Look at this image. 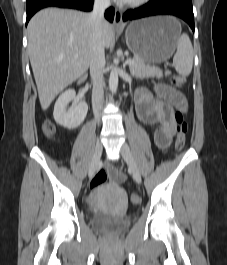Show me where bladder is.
<instances>
[{
    "label": "bladder",
    "mask_w": 227,
    "mask_h": 265,
    "mask_svg": "<svg viewBox=\"0 0 227 265\" xmlns=\"http://www.w3.org/2000/svg\"><path fill=\"white\" fill-rule=\"evenodd\" d=\"M113 191L117 190L115 186L99 187L98 191ZM91 226L103 233H119L124 231L129 226L127 218H118L105 213L97 212L92 214L90 218Z\"/></svg>",
    "instance_id": "obj_1"
}]
</instances>
